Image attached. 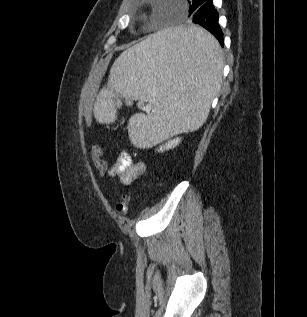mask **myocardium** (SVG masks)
<instances>
[{
    "mask_svg": "<svg viewBox=\"0 0 307 317\" xmlns=\"http://www.w3.org/2000/svg\"><path fill=\"white\" fill-rule=\"evenodd\" d=\"M148 14H149L148 10L143 9V10L138 12V14L136 15V19L143 20L148 16Z\"/></svg>",
    "mask_w": 307,
    "mask_h": 317,
    "instance_id": "1",
    "label": "myocardium"
}]
</instances>
